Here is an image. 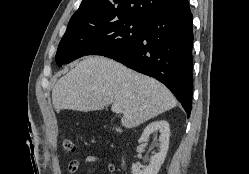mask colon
Returning <instances> with one entry per match:
<instances>
[{"instance_id":"colon-1","label":"colon","mask_w":249,"mask_h":174,"mask_svg":"<svg viewBox=\"0 0 249 174\" xmlns=\"http://www.w3.org/2000/svg\"><path fill=\"white\" fill-rule=\"evenodd\" d=\"M61 144L63 150L67 153H73L75 151V144L72 138L68 135L61 136Z\"/></svg>"}]
</instances>
